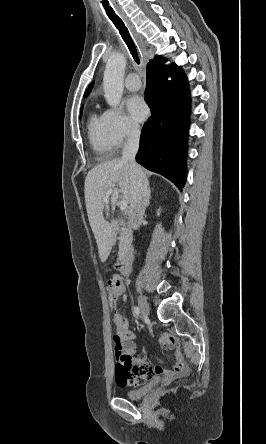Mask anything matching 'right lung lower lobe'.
Returning <instances> with one entry per match:
<instances>
[{
    "mask_svg": "<svg viewBox=\"0 0 266 444\" xmlns=\"http://www.w3.org/2000/svg\"><path fill=\"white\" fill-rule=\"evenodd\" d=\"M164 63L165 60L147 65L145 98L152 115L142 128L136 161L182 190L186 181L190 95L181 69Z\"/></svg>",
    "mask_w": 266,
    "mask_h": 444,
    "instance_id": "right-lung-lower-lobe-1",
    "label": "right lung lower lobe"
}]
</instances>
